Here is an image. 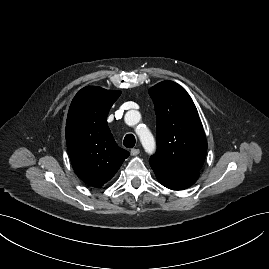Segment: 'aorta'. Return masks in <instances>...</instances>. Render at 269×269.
Listing matches in <instances>:
<instances>
[{
    "label": "aorta",
    "instance_id": "1",
    "mask_svg": "<svg viewBox=\"0 0 269 269\" xmlns=\"http://www.w3.org/2000/svg\"><path fill=\"white\" fill-rule=\"evenodd\" d=\"M126 119L129 124L139 121L140 114L137 111H129L126 114ZM137 134L139 136L140 142L145 149L146 153L153 154L156 150V143L152 133L145 127L137 129Z\"/></svg>",
    "mask_w": 269,
    "mask_h": 269
}]
</instances>
